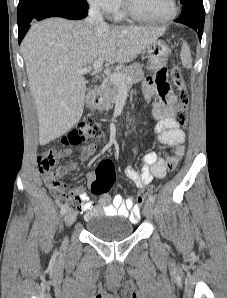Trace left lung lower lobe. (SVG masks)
Returning <instances> with one entry per match:
<instances>
[{"label":"left lung lower lobe","mask_w":227,"mask_h":298,"mask_svg":"<svg viewBox=\"0 0 227 298\" xmlns=\"http://www.w3.org/2000/svg\"><path fill=\"white\" fill-rule=\"evenodd\" d=\"M175 21L191 27L196 32H198L199 38H202L203 26H204V22L203 21L196 20V19H193V18H190V19H187V20L181 21V22L178 21V19H176Z\"/></svg>","instance_id":"left-lung-lower-lobe-1"}]
</instances>
